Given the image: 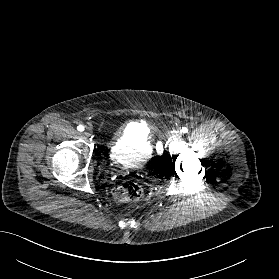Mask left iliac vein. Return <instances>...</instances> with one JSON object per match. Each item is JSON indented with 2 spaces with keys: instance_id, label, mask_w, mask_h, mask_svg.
<instances>
[{
  "instance_id": "4c4485c4",
  "label": "left iliac vein",
  "mask_w": 279,
  "mask_h": 279,
  "mask_svg": "<svg viewBox=\"0 0 279 279\" xmlns=\"http://www.w3.org/2000/svg\"><path fill=\"white\" fill-rule=\"evenodd\" d=\"M180 138H181V132H180V131L175 132V133L173 134V136H172V140H173L174 142L179 141Z\"/></svg>"
}]
</instances>
